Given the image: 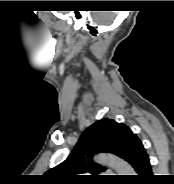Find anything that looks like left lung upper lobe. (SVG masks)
Returning <instances> with one entry per match:
<instances>
[{
  "label": "left lung upper lobe",
  "mask_w": 174,
  "mask_h": 184,
  "mask_svg": "<svg viewBox=\"0 0 174 184\" xmlns=\"http://www.w3.org/2000/svg\"><path fill=\"white\" fill-rule=\"evenodd\" d=\"M139 138L125 124L103 118L81 135L70 156L46 174L57 184H90L106 169L92 161L100 152L113 153L127 161Z\"/></svg>",
  "instance_id": "left-lung-upper-lobe-1"
}]
</instances>
